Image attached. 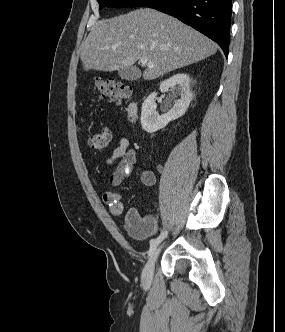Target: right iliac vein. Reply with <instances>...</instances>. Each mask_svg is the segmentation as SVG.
I'll return each instance as SVG.
<instances>
[{
    "label": "right iliac vein",
    "mask_w": 285,
    "mask_h": 332,
    "mask_svg": "<svg viewBox=\"0 0 285 332\" xmlns=\"http://www.w3.org/2000/svg\"><path fill=\"white\" fill-rule=\"evenodd\" d=\"M162 249V246L158 247L154 253L152 254V256L150 257V259L148 260V262L146 263L143 271H142V282L143 284H150L153 278V273H154V267H155V263L157 261L158 255L160 253Z\"/></svg>",
    "instance_id": "63e3f726"
}]
</instances>
